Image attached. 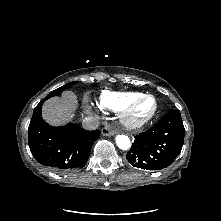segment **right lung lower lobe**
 I'll use <instances>...</instances> for the list:
<instances>
[{"instance_id":"1","label":"right lung lower lobe","mask_w":221,"mask_h":221,"mask_svg":"<svg viewBox=\"0 0 221 221\" xmlns=\"http://www.w3.org/2000/svg\"><path fill=\"white\" fill-rule=\"evenodd\" d=\"M45 97L34 109L28 128V144L35 159L57 171L82 168L88 161L100 131H87L76 124L64 127L48 125L41 116Z\"/></svg>"}]
</instances>
